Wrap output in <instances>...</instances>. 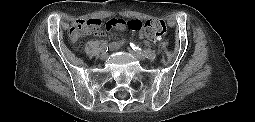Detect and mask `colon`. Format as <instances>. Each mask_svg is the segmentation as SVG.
I'll return each mask as SVG.
<instances>
[{"label": "colon", "mask_w": 255, "mask_h": 122, "mask_svg": "<svg viewBox=\"0 0 255 122\" xmlns=\"http://www.w3.org/2000/svg\"><path fill=\"white\" fill-rule=\"evenodd\" d=\"M107 30L113 28H127L134 31H144L150 38L161 39L167 32L166 24L160 19L142 21L139 19H112L105 24L99 19L76 20L72 23L69 34L72 39H77L82 33L96 32L102 27Z\"/></svg>", "instance_id": "obj_1"}]
</instances>
